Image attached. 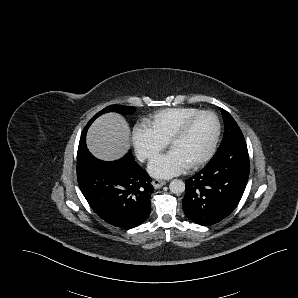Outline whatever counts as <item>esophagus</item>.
<instances>
[{
	"label": "esophagus",
	"mask_w": 298,
	"mask_h": 298,
	"mask_svg": "<svg viewBox=\"0 0 298 298\" xmlns=\"http://www.w3.org/2000/svg\"><path fill=\"white\" fill-rule=\"evenodd\" d=\"M165 184H166V181L159 180V179H155L152 182V185L155 189H159V188L163 187Z\"/></svg>",
	"instance_id": "esophagus-1"
}]
</instances>
